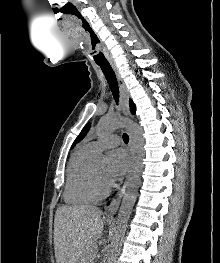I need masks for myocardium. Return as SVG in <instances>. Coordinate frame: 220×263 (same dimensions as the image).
<instances>
[{
  "label": "myocardium",
  "instance_id": "1",
  "mask_svg": "<svg viewBox=\"0 0 220 263\" xmlns=\"http://www.w3.org/2000/svg\"><path fill=\"white\" fill-rule=\"evenodd\" d=\"M89 189L96 198H104L111 193V185L103 186L95 173L94 167L89 172Z\"/></svg>",
  "mask_w": 220,
  "mask_h": 263
}]
</instances>
